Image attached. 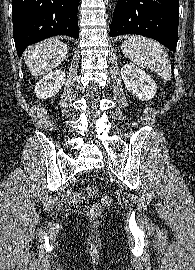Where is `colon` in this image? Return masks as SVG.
<instances>
[{"instance_id": "5ec220e1", "label": "colon", "mask_w": 195, "mask_h": 270, "mask_svg": "<svg viewBox=\"0 0 195 270\" xmlns=\"http://www.w3.org/2000/svg\"><path fill=\"white\" fill-rule=\"evenodd\" d=\"M97 192V188L95 186H88L84 189L83 192L77 193L73 196L74 202H79L83 199L84 194L94 195ZM103 205H109L111 203V198L109 196H104L101 199ZM102 213V207L100 205L91 206L87 214L90 218H97Z\"/></svg>"}]
</instances>
